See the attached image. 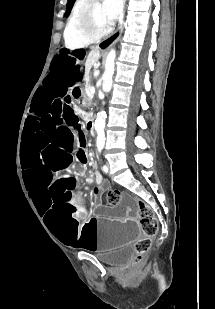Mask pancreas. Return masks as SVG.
I'll return each mask as SVG.
<instances>
[{
	"label": "pancreas",
	"instance_id": "cf45deb5",
	"mask_svg": "<svg viewBox=\"0 0 215 309\" xmlns=\"http://www.w3.org/2000/svg\"><path fill=\"white\" fill-rule=\"evenodd\" d=\"M90 86H92V82L89 78V80H85V92H84V98L82 100V102H84V106H91L92 104L91 96H87L88 94L87 88H90Z\"/></svg>",
	"mask_w": 215,
	"mask_h": 309
}]
</instances>
